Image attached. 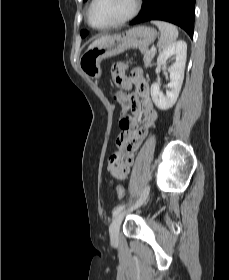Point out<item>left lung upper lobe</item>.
<instances>
[{
	"label": "left lung upper lobe",
	"mask_w": 229,
	"mask_h": 280,
	"mask_svg": "<svg viewBox=\"0 0 229 280\" xmlns=\"http://www.w3.org/2000/svg\"><path fill=\"white\" fill-rule=\"evenodd\" d=\"M83 1H86V0H83ZM87 34H88L87 31H85V30H82V31H81V36H82V37H85Z\"/></svg>",
	"instance_id": "left-lung-upper-lobe-1"
}]
</instances>
